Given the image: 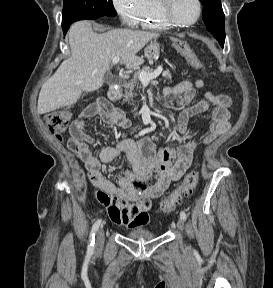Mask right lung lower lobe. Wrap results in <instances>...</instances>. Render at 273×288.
<instances>
[{
    "label": "right lung lower lobe",
    "mask_w": 273,
    "mask_h": 288,
    "mask_svg": "<svg viewBox=\"0 0 273 288\" xmlns=\"http://www.w3.org/2000/svg\"><path fill=\"white\" fill-rule=\"evenodd\" d=\"M68 28H69V27L63 28V33H64V35H66V33H67V31H68Z\"/></svg>",
    "instance_id": "right-lung-lower-lobe-1"
}]
</instances>
